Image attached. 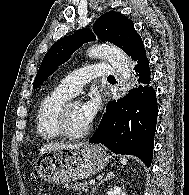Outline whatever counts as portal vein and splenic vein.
<instances>
[{
	"mask_svg": "<svg viewBox=\"0 0 189 195\" xmlns=\"http://www.w3.org/2000/svg\"><path fill=\"white\" fill-rule=\"evenodd\" d=\"M95 182H96L95 180H91V181L89 182V184H90V185H94Z\"/></svg>",
	"mask_w": 189,
	"mask_h": 195,
	"instance_id": "obj_1",
	"label": "portal vein and splenic vein"
}]
</instances>
